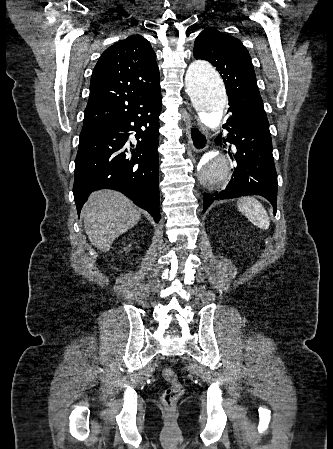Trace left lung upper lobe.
<instances>
[{"instance_id":"left-lung-upper-lobe-1","label":"left lung upper lobe","mask_w":333,"mask_h":449,"mask_svg":"<svg viewBox=\"0 0 333 449\" xmlns=\"http://www.w3.org/2000/svg\"><path fill=\"white\" fill-rule=\"evenodd\" d=\"M193 54L216 67L226 85L229 102L235 101L248 111L267 117L250 54L239 39L208 28L197 36Z\"/></svg>"}]
</instances>
